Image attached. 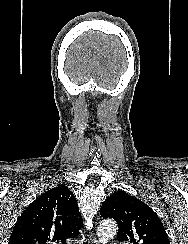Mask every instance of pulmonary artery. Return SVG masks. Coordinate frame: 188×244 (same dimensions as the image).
Listing matches in <instances>:
<instances>
[{
	"label": "pulmonary artery",
	"mask_w": 188,
	"mask_h": 244,
	"mask_svg": "<svg viewBox=\"0 0 188 244\" xmlns=\"http://www.w3.org/2000/svg\"><path fill=\"white\" fill-rule=\"evenodd\" d=\"M114 244H123V243H121V242H117V243H114Z\"/></svg>",
	"instance_id": "pulmonary-artery-1"
}]
</instances>
